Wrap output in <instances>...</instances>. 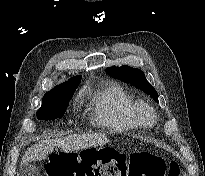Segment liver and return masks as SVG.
Returning a JSON list of instances; mask_svg holds the SVG:
<instances>
[{"label": "liver", "instance_id": "obj_1", "mask_svg": "<svg viewBox=\"0 0 205 176\" xmlns=\"http://www.w3.org/2000/svg\"><path fill=\"white\" fill-rule=\"evenodd\" d=\"M108 141L104 134H76L66 137H59L56 139H46L31 146L23 155L21 165L28 162L40 161L47 158V156L54 150L55 146L61 147L63 152L71 153L72 151H79L89 147L103 145Z\"/></svg>", "mask_w": 205, "mask_h": 176}]
</instances>
